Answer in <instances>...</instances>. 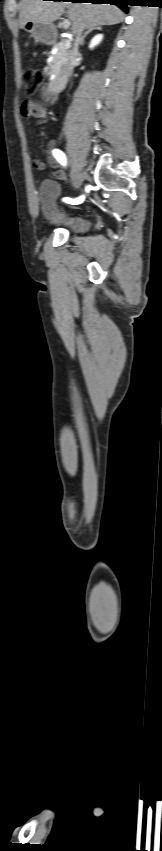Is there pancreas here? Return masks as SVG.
<instances>
[{
  "instance_id": "cf45deb5",
  "label": "pancreas",
  "mask_w": 162,
  "mask_h": 851,
  "mask_svg": "<svg viewBox=\"0 0 162 851\" xmlns=\"http://www.w3.org/2000/svg\"><path fill=\"white\" fill-rule=\"evenodd\" d=\"M53 49H56V52L53 55L51 63L47 66V71L49 74L57 75L60 73L61 68L68 62L72 51L68 50L65 41L55 44Z\"/></svg>"
}]
</instances>
